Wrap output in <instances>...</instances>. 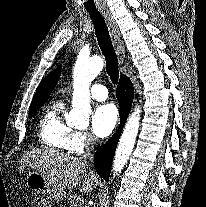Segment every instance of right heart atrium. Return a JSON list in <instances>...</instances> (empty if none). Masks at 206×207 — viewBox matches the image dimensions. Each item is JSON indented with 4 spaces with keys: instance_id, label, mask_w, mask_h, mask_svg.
I'll use <instances>...</instances> for the list:
<instances>
[{
    "instance_id": "obj_1",
    "label": "right heart atrium",
    "mask_w": 206,
    "mask_h": 207,
    "mask_svg": "<svg viewBox=\"0 0 206 207\" xmlns=\"http://www.w3.org/2000/svg\"><path fill=\"white\" fill-rule=\"evenodd\" d=\"M93 144V138L87 131L75 130L72 135V148L75 152H83Z\"/></svg>"
}]
</instances>
